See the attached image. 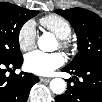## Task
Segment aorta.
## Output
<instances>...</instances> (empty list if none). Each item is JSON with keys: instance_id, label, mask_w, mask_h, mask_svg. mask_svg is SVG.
I'll list each match as a JSON object with an SVG mask.
<instances>
[{"instance_id": "obj_1", "label": "aorta", "mask_w": 102, "mask_h": 102, "mask_svg": "<svg viewBox=\"0 0 102 102\" xmlns=\"http://www.w3.org/2000/svg\"><path fill=\"white\" fill-rule=\"evenodd\" d=\"M38 47L40 50L45 52H51L56 49V39L52 33H44L38 38L37 41ZM66 88V83L61 78L52 79L50 82V89L55 94L64 93Z\"/></svg>"}]
</instances>
